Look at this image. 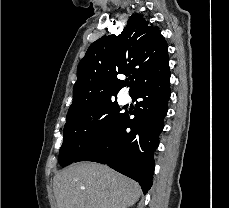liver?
<instances>
[{"label":"liver","mask_w":229,"mask_h":208,"mask_svg":"<svg viewBox=\"0 0 229 208\" xmlns=\"http://www.w3.org/2000/svg\"><path fill=\"white\" fill-rule=\"evenodd\" d=\"M53 186L58 208H129L141 196L137 182L96 162L68 166Z\"/></svg>","instance_id":"6515ba94"}]
</instances>
